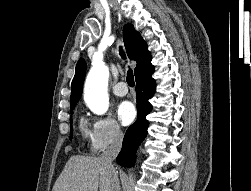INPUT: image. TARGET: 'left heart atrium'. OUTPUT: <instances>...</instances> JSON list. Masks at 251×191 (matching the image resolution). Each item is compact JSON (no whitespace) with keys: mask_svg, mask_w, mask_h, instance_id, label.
Masks as SVG:
<instances>
[{"mask_svg":"<svg viewBox=\"0 0 251 191\" xmlns=\"http://www.w3.org/2000/svg\"><path fill=\"white\" fill-rule=\"evenodd\" d=\"M136 110L134 105L129 101L121 102L117 107V117L121 124L128 125L134 119Z\"/></svg>","mask_w":251,"mask_h":191,"instance_id":"left-heart-atrium-1","label":"left heart atrium"}]
</instances>
